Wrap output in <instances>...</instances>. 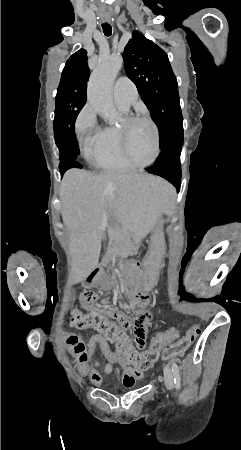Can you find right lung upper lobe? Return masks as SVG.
Segmentation results:
<instances>
[{
    "mask_svg": "<svg viewBox=\"0 0 241 450\" xmlns=\"http://www.w3.org/2000/svg\"><path fill=\"white\" fill-rule=\"evenodd\" d=\"M89 75L90 70L87 64V52L84 49H80L67 60L61 74L60 83L74 80H88Z\"/></svg>",
    "mask_w": 241,
    "mask_h": 450,
    "instance_id": "1",
    "label": "right lung upper lobe"
}]
</instances>
